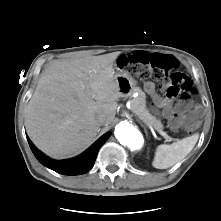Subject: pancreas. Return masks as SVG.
<instances>
[{
  "label": "pancreas",
  "instance_id": "1",
  "mask_svg": "<svg viewBox=\"0 0 221 221\" xmlns=\"http://www.w3.org/2000/svg\"><path fill=\"white\" fill-rule=\"evenodd\" d=\"M137 92L138 96L131 100L132 112L147 125L152 126L155 129L162 130L163 124L161 123V120L150 114L149 110L146 107L145 93L139 89H137Z\"/></svg>",
  "mask_w": 221,
  "mask_h": 221
}]
</instances>
